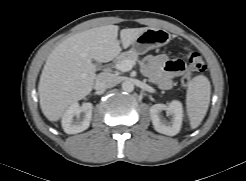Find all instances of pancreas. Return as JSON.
I'll list each match as a JSON object with an SVG mask.
<instances>
[{"label":"pancreas","instance_id":"pancreas-1","mask_svg":"<svg viewBox=\"0 0 246 181\" xmlns=\"http://www.w3.org/2000/svg\"><path fill=\"white\" fill-rule=\"evenodd\" d=\"M116 60H117L116 61L117 64L123 62L124 60H131L133 62H136L138 60V54L130 50V51L123 52L122 54H120Z\"/></svg>","mask_w":246,"mask_h":181}]
</instances>
